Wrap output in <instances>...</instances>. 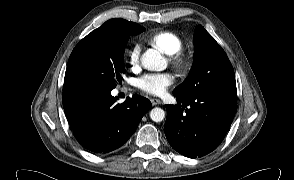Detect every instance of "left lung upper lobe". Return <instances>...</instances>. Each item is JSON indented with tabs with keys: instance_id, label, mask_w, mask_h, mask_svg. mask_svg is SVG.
I'll return each mask as SVG.
<instances>
[{
	"instance_id": "left-lung-upper-lobe-1",
	"label": "left lung upper lobe",
	"mask_w": 294,
	"mask_h": 180,
	"mask_svg": "<svg viewBox=\"0 0 294 180\" xmlns=\"http://www.w3.org/2000/svg\"><path fill=\"white\" fill-rule=\"evenodd\" d=\"M194 63L186 80L174 90L179 95L224 93L236 95L235 74L226 53L216 40L198 25L194 34Z\"/></svg>"
}]
</instances>
